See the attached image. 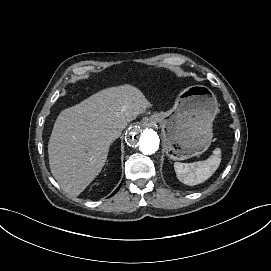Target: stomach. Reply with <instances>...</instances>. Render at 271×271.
Instances as JSON below:
<instances>
[{
    "mask_svg": "<svg viewBox=\"0 0 271 271\" xmlns=\"http://www.w3.org/2000/svg\"><path fill=\"white\" fill-rule=\"evenodd\" d=\"M217 113L213 92L204 86H194L179 95L172 109L154 112L145 121L161 126L163 149L167 156L173 160H184L209 148Z\"/></svg>",
    "mask_w": 271,
    "mask_h": 271,
    "instance_id": "1",
    "label": "stomach"
}]
</instances>
